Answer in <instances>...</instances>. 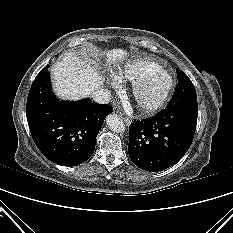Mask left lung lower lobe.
I'll use <instances>...</instances> for the list:
<instances>
[{"label":"left lung lower lobe","mask_w":233,"mask_h":233,"mask_svg":"<svg viewBox=\"0 0 233 233\" xmlns=\"http://www.w3.org/2000/svg\"><path fill=\"white\" fill-rule=\"evenodd\" d=\"M198 104H168L149 119L129 127L128 153L139 168L162 171L178 162L189 149L196 130Z\"/></svg>","instance_id":"left-lung-lower-lobe-1"}]
</instances>
